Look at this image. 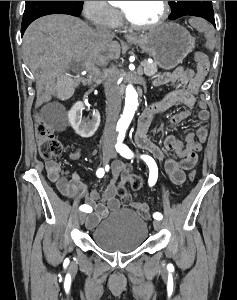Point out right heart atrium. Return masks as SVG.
<instances>
[{
  "mask_svg": "<svg viewBox=\"0 0 237 300\" xmlns=\"http://www.w3.org/2000/svg\"><path fill=\"white\" fill-rule=\"evenodd\" d=\"M83 13L94 26L116 29L121 24V15L107 1H84Z\"/></svg>",
  "mask_w": 237,
  "mask_h": 300,
  "instance_id": "right-heart-atrium-1",
  "label": "right heart atrium"
}]
</instances>
